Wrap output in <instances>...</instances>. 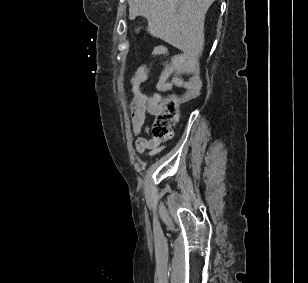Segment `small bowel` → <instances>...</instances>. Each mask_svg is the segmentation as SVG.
<instances>
[{"label":"small bowel","instance_id":"small-bowel-1","mask_svg":"<svg viewBox=\"0 0 308 283\" xmlns=\"http://www.w3.org/2000/svg\"><path fill=\"white\" fill-rule=\"evenodd\" d=\"M165 52L163 47L155 50L156 54ZM194 59L188 54H176L170 61L162 66L159 79L156 83V94H145L142 91V85L148 80L149 72L144 66L138 67L130 78L132 86V97L129 108L132 122L133 133L137 136L135 140V151L138 154L147 152V156H156L160 154L165 146L160 139L149 134V128L146 125L147 115L155 116L160 111L159 102L162 99V93L173 91L176 88H186L189 83V77L192 71ZM145 133V136H141Z\"/></svg>","mask_w":308,"mask_h":283}]
</instances>
